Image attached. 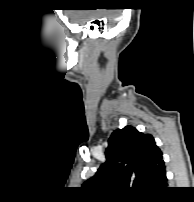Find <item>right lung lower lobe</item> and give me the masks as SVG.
I'll list each match as a JSON object with an SVG mask.
<instances>
[{
  "instance_id": "1",
  "label": "right lung lower lobe",
  "mask_w": 194,
  "mask_h": 202,
  "mask_svg": "<svg viewBox=\"0 0 194 202\" xmlns=\"http://www.w3.org/2000/svg\"><path fill=\"white\" fill-rule=\"evenodd\" d=\"M164 194V191H162L161 193H159V194H157V195H155V196H162Z\"/></svg>"
}]
</instances>
